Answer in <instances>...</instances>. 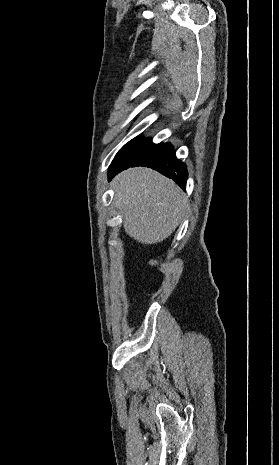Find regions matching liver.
Listing matches in <instances>:
<instances>
[{"label":"liver","instance_id":"6515ba94","mask_svg":"<svg viewBox=\"0 0 279 465\" xmlns=\"http://www.w3.org/2000/svg\"><path fill=\"white\" fill-rule=\"evenodd\" d=\"M112 185L125 232L140 243L162 242L185 214L187 200L181 189L152 169L129 168L119 173Z\"/></svg>","mask_w":279,"mask_h":465}]
</instances>
